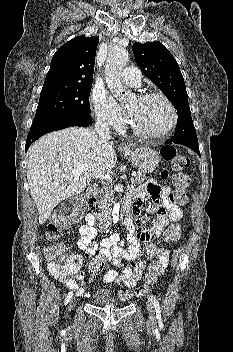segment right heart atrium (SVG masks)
Wrapping results in <instances>:
<instances>
[{
	"mask_svg": "<svg viewBox=\"0 0 233 352\" xmlns=\"http://www.w3.org/2000/svg\"><path fill=\"white\" fill-rule=\"evenodd\" d=\"M95 117L98 123L106 127L120 129L125 120L112 101L105 93L95 91L92 94Z\"/></svg>",
	"mask_w": 233,
	"mask_h": 352,
	"instance_id": "obj_1",
	"label": "right heart atrium"
}]
</instances>
